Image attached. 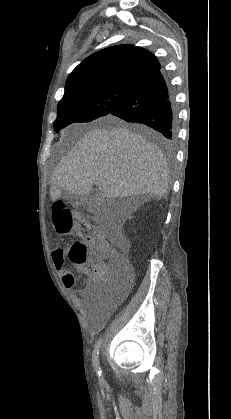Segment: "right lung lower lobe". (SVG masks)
Instances as JSON below:
<instances>
[{"mask_svg": "<svg viewBox=\"0 0 231 419\" xmlns=\"http://www.w3.org/2000/svg\"><path fill=\"white\" fill-rule=\"evenodd\" d=\"M160 69L138 80L128 96L109 115L128 122L146 124L173 142L177 126L175 98Z\"/></svg>", "mask_w": 231, "mask_h": 419, "instance_id": "1", "label": "right lung lower lobe"}]
</instances>
